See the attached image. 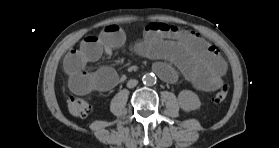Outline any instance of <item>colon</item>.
Here are the masks:
<instances>
[{"label":"colon","instance_id":"1","mask_svg":"<svg viewBox=\"0 0 279 148\" xmlns=\"http://www.w3.org/2000/svg\"><path fill=\"white\" fill-rule=\"evenodd\" d=\"M228 95V87L223 85L220 89H218L214 95L213 100L215 102H221L226 99ZM67 106L69 112L75 117H85L89 114L91 107L89 103L78 96H70L67 100Z\"/></svg>","mask_w":279,"mask_h":148}]
</instances>
